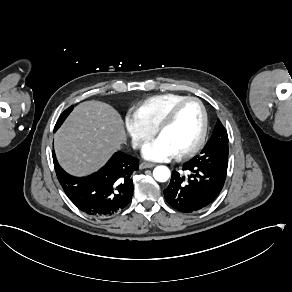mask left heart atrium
<instances>
[{
    "label": "left heart atrium",
    "instance_id": "39dd6f15",
    "mask_svg": "<svg viewBox=\"0 0 292 292\" xmlns=\"http://www.w3.org/2000/svg\"><path fill=\"white\" fill-rule=\"evenodd\" d=\"M142 153L146 159L153 161H165L175 157L179 151L164 137L159 136L150 140L144 146Z\"/></svg>",
    "mask_w": 292,
    "mask_h": 292
}]
</instances>
